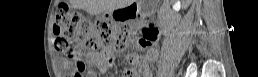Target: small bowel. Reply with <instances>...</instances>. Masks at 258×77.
Instances as JSON below:
<instances>
[{
  "mask_svg": "<svg viewBox=\"0 0 258 77\" xmlns=\"http://www.w3.org/2000/svg\"><path fill=\"white\" fill-rule=\"evenodd\" d=\"M157 57L158 53L154 48L150 49L143 58L136 55L128 56V61L132 65V68L129 69L127 76L149 77L151 75L150 65L157 60ZM88 61L89 63L97 65L102 71H106L115 65L116 57L109 51L105 54L88 55Z\"/></svg>",
  "mask_w": 258,
  "mask_h": 77,
  "instance_id": "small-bowel-1",
  "label": "small bowel"
}]
</instances>
